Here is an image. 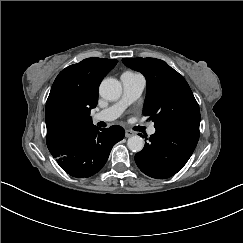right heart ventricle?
<instances>
[{"mask_svg":"<svg viewBox=\"0 0 243 243\" xmlns=\"http://www.w3.org/2000/svg\"><path fill=\"white\" fill-rule=\"evenodd\" d=\"M121 77L132 78V79H140V74L133 71H125L122 73Z\"/></svg>","mask_w":243,"mask_h":243,"instance_id":"1","label":"right heart ventricle"}]
</instances>
